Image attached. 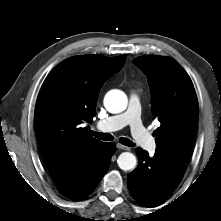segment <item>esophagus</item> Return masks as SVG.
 Here are the masks:
<instances>
[{
	"instance_id": "34e87169",
	"label": "esophagus",
	"mask_w": 221,
	"mask_h": 221,
	"mask_svg": "<svg viewBox=\"0 0 221 221\" xmlns=\"http://www.w3.org/2000/svg\"><path fill=\"white\" fill-rule=\"evenodd\" d=\"M116 146L118 149H122V150H126V151H130V149H131L130 147L122 145L120 143H118Z\"/></svg>"
}]
</instances>
